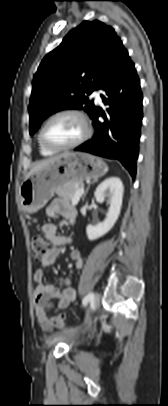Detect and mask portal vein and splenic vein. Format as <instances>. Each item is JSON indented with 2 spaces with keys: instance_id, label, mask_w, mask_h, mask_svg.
I'll use <instances>...</instances> for the list:
<instances>
[{
  "instance_id": "1",
  "label": "portal vein and splenic vein",
  "mask_w": 168,
  "mask_h": 406,
  "mask_svg": "<svg viewBox=\"0 0 168 406\" xmlns=\"http://www.w3.org/2000/svg\"><path fill=\"white\" fill-rule=\"evenodd\" d=\"M84 193V189H78L74 195V198L72 200V205L75 206L78 204L80 197L82 196V194Z\"/></svg>"
}]
</instances>
